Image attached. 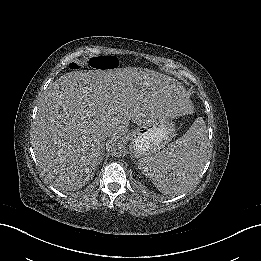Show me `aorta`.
Returning a JSON list of instances; mask_svg holds the SVG:
<instances>
[{"label": "aorta", "mask_w": 261, "mask_h": 261, "mask_svg": "<svg viewBox=\"0 0 261 261\" xmlns=\"http://www.w3.org/2000/svg\"><path fill=\"white\" fill-rule=\"evenodd\" d=\"M123 148H124V146L121 143H119V145H117V147H115V149H114V156H116V157L121 156L124 152Z\"/></svg>", "instance_id": "aorta-1"}]
</instances>
